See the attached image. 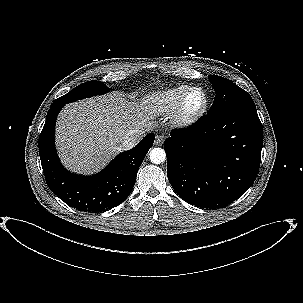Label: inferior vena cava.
Segmentation results:
<instances>
[{
    "instance_id": "602c4592",
    "label": "inferior vena cava",
    "mask_w": 303,
    "mask_h": 303,
    "mask_svg": "<svg viewBox=\"0 0 303 303\" xmlns=\"http://www.w3.org/2000/svg\"><path fill=\"white\" fill-rule=\"evenodd\" d=\"M144 132L143 131H129L121 143V149L122 150H129L133 148L143 137Z\"/></svg>"
}]
</instances>
